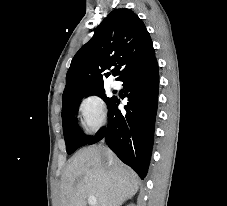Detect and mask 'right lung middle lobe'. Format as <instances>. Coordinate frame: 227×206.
<instances>
[{
    "label": "right lung middle lobe",
    "mask_w": 227,
    "mask_h": 206,
    "mask_svg": "<svg viewBox=\"0 0 227 206\" xmlns=\"http://www.w3.org/2000/svg\"><path fill=\"white\" fill-rule=\"evenodd\" d=\"M88 95H97L101 97L107 105L115 99V97L107 98L104 88L100 87L62 100L63 133L68 154H72L79 147L87 145V143L91 140V137L86 136L80 130L75 120V114L78 112V108L76 107L77 103Z\"/></svg>",
    "instance_id": "right-lung-middle-lobe-1"
}]
</instances>
